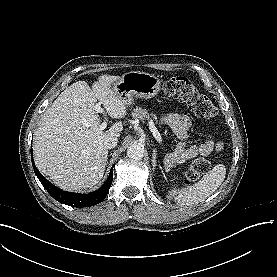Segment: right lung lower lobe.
Masks as SVG:
<instances>
[{
  "label": "right lung lower lobe",
  "mask_w": 277,
  "mask_h": 277,
  "mask_svg": "<svg viewBox=\"0 0 277 277\" xmlns=\"http://www.w3.org/2000/svg\"><path fill=\"white\" fill-rule=\"evenodd\" d=\"M31 156H32V151H31ZM32 165L36 176L40 180L43 187L48 191V193L60 203H63L72 207H78V208L90 207L102 202L107 196L113 181V167H112L106 182L100 189L88 194L71 193V192L63 191L58 187L54 186L49 181H47L43 177V175L37 170L34 164L33 158H32Z\"/></svg>",
  "instance_id": "98d812e1"
}]
</instances>
